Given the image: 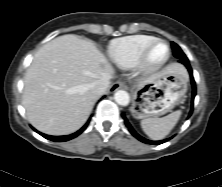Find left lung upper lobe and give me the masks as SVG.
I'll return each mask as SVG.
<instances>
[{
  "label": "left lung upper lobe",
  "mask_w": 222,
  "mask_h": 187,
  "mask_svg": "<svg viewBox=\"0 0 222 187\" xmlns=\"http://www.w3.org/2000/svg\"><path fill=\"white\" fill-rule=\"evenodd\" d=\"M171 45H172L174 56L176 58H178V59H187L184 52L181 50V48L176 43L171 42Z\"/></svg>",
  "instance_id": "1"
}]
</instances>
